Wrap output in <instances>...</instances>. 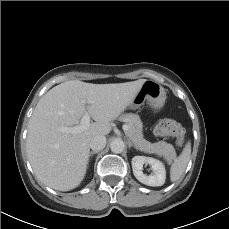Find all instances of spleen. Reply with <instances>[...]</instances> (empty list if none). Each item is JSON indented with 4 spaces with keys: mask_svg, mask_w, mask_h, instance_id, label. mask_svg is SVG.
Here are the masks:
<instances>
[{
    "mask_svg": "<svg viewBox=\"0 0 229 229\" xmlns=\"http://www.w3.org/2000/svg\"><path fill=\"white\" fill-rule=\"evenodd\" d=\"M191 144L188 142L182 153L174 160L170 168V179L172 182L177 181L184 173L190 160Z\"/></svg>",
    "mask_w": 229,
    "mask_h": 229,
    "instance_id": "spleen-1",
    "label": "spleen"
}]
</instances>
